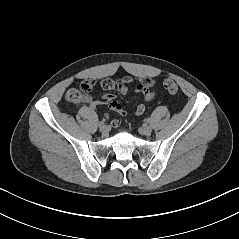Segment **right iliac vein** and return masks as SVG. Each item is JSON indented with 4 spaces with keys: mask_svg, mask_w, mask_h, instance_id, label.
Returning a JSON list of instances; mask_svg holds the SVG:
<instances>
[{
    "mask_svg": "<svg viewBox=\"0 0 239 239\" xmlns=\"http://www.w3.org/2000/svg\"><path fill=\"white\" fill-rule=\"evenodd\" d=\"M99 130L102 134H106L108 132V127L106 125H102Z\"/></svg>",
    "mask_w": 239,
    "mask_h": 239,
    "instance_id": "obj_1",
    "label": "right iliac vein"
}]
</instances>
